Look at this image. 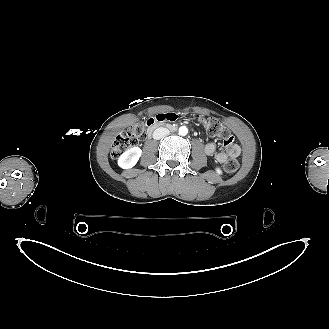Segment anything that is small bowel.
<instances>
[{
  "label": "small bowel",
  "mask_w": 329,
  "mask_h": 329,
  "mask_svg": "<svg viewBox=\"0 0 329 329\" xmlns=\"http://www.w3.org/2000/svg\"><path fill=\"white\" fill-rule=\"evenodd\" d=\"M178 115L172 112H161L156 116L159 123L167 122L173 123L177 120ZM207 155L214 157L218 162L223 163L230 157H237L240 154V148L237 145H232L227 149L217 146L215 143L210 142L205 146Z\"/></svg>",
  "instance_id": "c3829d8e"
}]
</instances>
